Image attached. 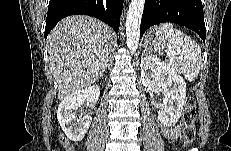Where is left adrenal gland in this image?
<instances>
[{
	"instance_id": "obj_1",
	"label": "left adrenal gland",
	"mask_w": 231,
	"mask_h": 151,
	"mask_svg": "<svg viewBox=\"0 0 231 151\" xmlns=\"http://www.w3.org/2000/svg\"><path fill=\"white\" fill-rule=\"evenodd\" d=\"M145 55V51L143 52V56Z\"/></svg>"
}]
</instances>
